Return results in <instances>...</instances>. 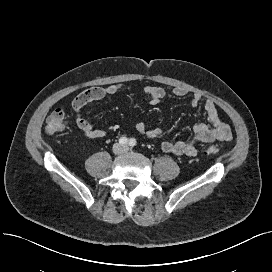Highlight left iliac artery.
<instances>
[{"label":"left iliac artery","mask_w":272,"mask_h":272,"mask_svg":"<svg viewBox=\"0 0 272 272\" xmlns=\"http://www.w3.org/2000/svg\"><path fill=\"white\" fill-rule=\"evenodd\" d=\"M136 140L134 139V138H131L130 140H129V146H131V147H134L135 145H136Z\"/></svg>","instance_id":"obj_1"}]
</instances>
